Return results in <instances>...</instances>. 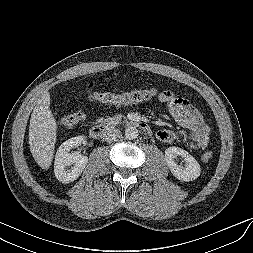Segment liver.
Wrapping results in <instances>:
<instances>
[{
  "label": "liver",
  "instance_id": "1",
  "mask_svg": "<svg viewBox=\"0 0 253 253\" xmlns=\"http://www.w3.org/2000/svg\"><path fill=\"white\" fill-rule=\"evenodd\" d=\"M57 128L56 120L50 110V94L45 92L33 109L29 126L30 151L42 169L51 166L57 141Z\"/></svg>",
  "mask_w": 253,
  "mask_h": 253
}]
</instances>
